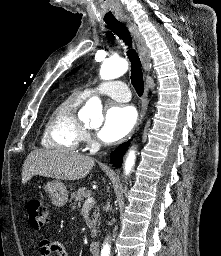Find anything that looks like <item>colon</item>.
<instances>
[{"label": "colon", "mask_w": 221, "mask_h": 256, "mask_svg": "<svg viewBox=\"0 0 221 256\" xmlns=\"http://www.w3.org/2000/svg\"><path fill=\"white\" fill-rule=\"evenodd\" d=\"M27 214L30 225L40 230L49 219V210L47 206L36 197H31L27 201Z\"/></svg>", "instance_id": "1"}]
</instances>
